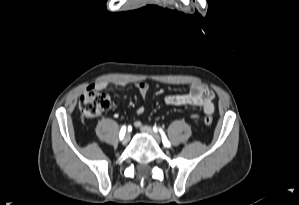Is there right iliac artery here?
I'll return each instance as SVG.
<instances>
[{
    "label": "right iliac artery",
    "instance_id": "82829eb1",
    "mask_svg": "<svg viewBox=\"0 0 299 205\" xmlns=\"http://www.w3.org/2000/svg\"><path fill=\"white\" fill-rule=\"evenodd\" d=\"M125 133H126V126H123L120 130V133H119V138L120 140L123 139V137L125 136Z\"/></svg>",
    "mask_w": 299,
    "mask_h": 205
}]
</instances>
